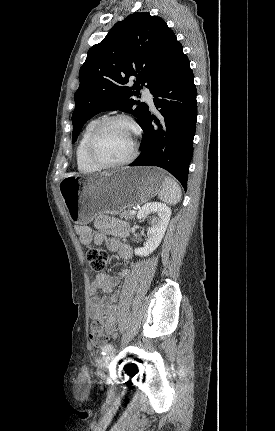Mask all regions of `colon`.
I'll return each instance as SVG.
<instances>
[{
    "label": "colon",
    "mask_w": 275,
    "mask_h": 431,
    "mask_svg": "<svg viewBox=\"0 0 275 431\" xmlns=\"http://www.w3.org/2000/svg\"><path fill=\"white\" fill-rule=\"evenodd\" d=\"M87 261L94 272L101 273L109 262V254L104 249L90 248L87 251ZM89 337L96 347L103 346L108 340L104 327L97 321L90 324Z\"/></svg>",
    "instance_id": "1"
}]
</instances>
